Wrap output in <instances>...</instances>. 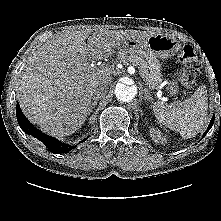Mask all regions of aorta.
<instances>
[{
  "label": "aorta",
  "mask_w": 221,
  "mask_h": 221,
  "mask_svg": "<svg viewBox=\"0 0 221 221\" xmlns=\"http://www.w3.org/2000/svg\"><path fill=\"white\" fill-rule=\"evenodd\" d=\"M114 92L119 101L129 102L136 96L137 88L134 85L119 82L116 84Z\"/></svg>",
  "instance_id": "762f6f07"
}]
</instances>
